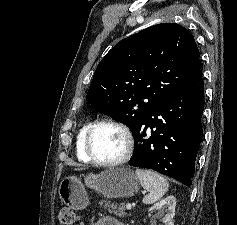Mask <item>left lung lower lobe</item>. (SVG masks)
<instances>
[{
  "instance_id": "left-lung-lower-lobe-1",
  "label": "left lung lower lobe",
  "mask_w": 237,
  "mask_h": 225,
  "mask_svg": "<svg viewBox=\"0 0 237 225\" xmlns=\"http://www.w3.org/2000/svg\"><path fill=\"white\" fill-rule=\"evenodd\" d=\"M204 85L169 95L132 131L131 166L153 169L191 186L203 131Z\"/></svg>"
}]
</instances>
